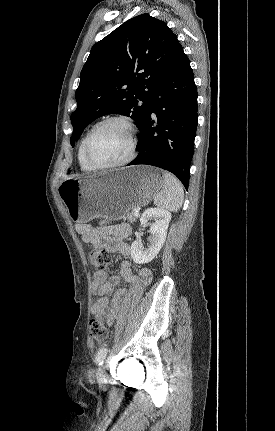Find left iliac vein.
Returning <instances> with one entry per match:
<instances>
[{"label":"left iliac vein","instance_id":"left-iliac-vein-1","mask_svg":"<svg viewBox=\"0 0 275 431\" xmlns=\"http://www.w3.org/2000/svg\"><path fill=\"white\" fill-rule=\"evenodd\" d=\"M96 377L99 383L103 384L106 380L105 367L102 365L99 367L96 373Z\"/></svg>","mask_w":275,"mask_h":431}]
</instances>
